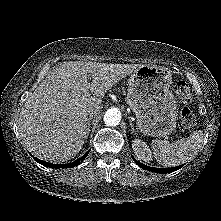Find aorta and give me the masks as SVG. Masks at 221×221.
<instances>
[{
  "mask_svg": "<svg viewBox=\"0 0 221 221\" xmlns=\"http://www.w3.org/2000/svg\"><path fill=\"white\" fill-rule=\"evenodd\" d=\"M104 123L107 126H117L121 121V112L117 108H110L104 114Z\"/></svg>",
  "mask_w": 221,
  "mask_h": 221,
  "instance_id": "1",
  "label": "aorta"
}]
</instances>
